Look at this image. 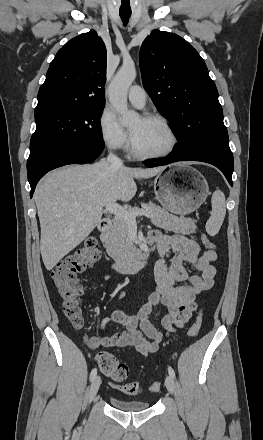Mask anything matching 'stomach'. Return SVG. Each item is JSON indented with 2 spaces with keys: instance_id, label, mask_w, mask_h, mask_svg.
Masks as SVG:
<instances>
[{
  "instance_id": "obj_1",
  "label": "stomach",
  "mask_w": 263,
  "mask_h": 440,
  "mask_svg": "<svg viewBox=\"0 0 263 440\" xmlns=\"http://www.w3.org/2000/svg\"><path fill=\"white\" fill-rule=\"evenodd\" d=\"M157 201L168 211L187 215L206 200L209 187L204 176L190 166H174L153 181Z\"/></svg>"
}]
</instances>
